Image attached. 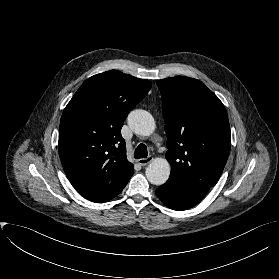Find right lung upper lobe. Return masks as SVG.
Wrapping results in <instances>:
<instances>
[{
	"instance_id": "right-lung-upper-lobe-1",
	"label": "right lung upper lobe",
	"mask_w": 279,
	"mask_h": 279,
	"mask_svg": "<svg viewBox=\"0 0 279 279\" xmlns=\"http://www.w3.org/2000/svg\"><path fill=\"white\" fill-rule=\"evenodd\" d=\"M152 84L119 71L87 79L64 109L59 152L65 174L86 199L103 203L117 196L134 172L121 128Z\"/></svg>"
}]
</instances>
